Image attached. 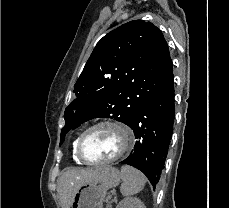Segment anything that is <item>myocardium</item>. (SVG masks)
Instances as JSON below:
<instances>
[{
    "mask_svg": "<svg viewBox=\"0 0 229 208\" xmlns=\"http://www.w3.org/2000/svg\"><path fill=\"white\" fill-rule=\"evenodd\" d=\"M102 126H112V127L119 129L115 131V134L120 135L119 136L120 138L117 141L119 142V146L123 148L117 155H114L113 157H111L110 160H88L87 157H85V153L83 151V148L85 147V144L83 143L84 138L90 131L96 128L102 127ZM123 133L126 138H123L124 137ZM133 145H134V136L132 132L124 124L118 121H113V120H103V121H99L89 126L80 134L78 141H77V149H76L77 158H81L84 162L89 163V164L112 163V162L119 160L123 156H125L130 151V149L133 147Z\"/></svg>",
    "mask_w": 229,
    "mask_h": 208,
    "instance_id": "obj_1",
    "label": "myocardium"
}]
</instances>
